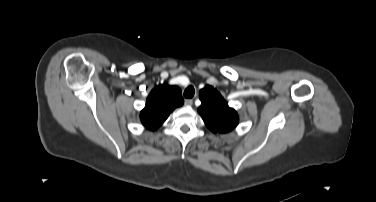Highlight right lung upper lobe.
I'll return each instance as SVG.
<instances>
[{"label": "right lung upper lobe", "mask_w": 376, "mask_h": 202, "mask_svg": "<svg viewBox=\"0 0 376 202\" xmlns=\"http://www.w3.org/2000/svg\"><path fill=\"white\" fill-rule=\"evenodd\" d=\"M184 99L179 87L167 84L156 86L149 94L146 105L140 113L141 123L149 130H157L170 113L183 105Z\"/></svg>", "instance_id": "obj_1"}]
</instances>
